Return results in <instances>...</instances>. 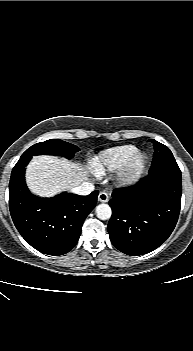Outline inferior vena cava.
I'll return each mask as SVG.
<instances>
[{
	"instance_id": "1",
	"label": "inferior vena cava",
	"mask_w": 193,
	"mask_h": 351,
	"mask_svg": "<svg viewBox=\"0 0 193 351\" xmlns=\"http://www.w3.org/2000/svg\"><path fill=\"white\" fill-rule=\"evenodd\" d=\"M93 190L94 185L90 182H83L81 185L72 188V192L80 196L89 195Z\"/></svg>"
}]
</instances>
